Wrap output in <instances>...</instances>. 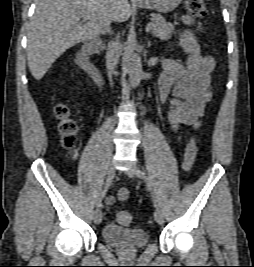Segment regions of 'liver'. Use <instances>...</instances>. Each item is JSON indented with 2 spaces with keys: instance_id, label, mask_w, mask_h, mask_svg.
I'll list each match as a JSON object with an SVG mask.
<instances>
[{
  "instance_id": "1",
  "label": "liver",
  "mask_w": 254,
  "mask_h": 267,
  "mask_svg": "<svg viewBox=\"0 0 254 267\" xmlns=\"http://www.w3.org/2000/svg\"><path fill=\"white\" fill-rule=\"evenodd\" d=\"M130 15L128 0H36L27 35L32 76L42 79L67 49L98 35L112 21H127Z\"/></svg>"
}]
</instances>
